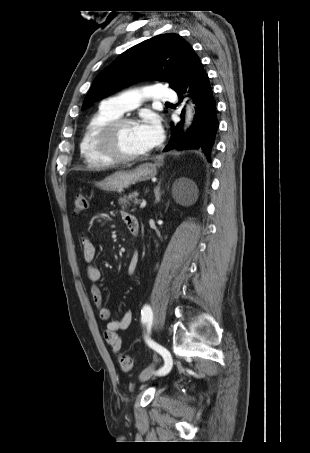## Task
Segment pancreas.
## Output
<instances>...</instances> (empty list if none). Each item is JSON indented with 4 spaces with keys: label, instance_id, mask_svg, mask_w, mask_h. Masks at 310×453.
I'll return each mask as SVG.
<instances>
[{
    "label": "pancreas",
    "instance_id": "1",
    "mask_svg": "<svg viewBox=\"0 0 310 453\" xmlns=\"http://www.w3.org/2000/svg\"><path fill=\"white\" fill-rule=\"evenodd\" d=\"M138 193L134 192L129 194L128 196H123L122 198L119 199V204L122 206V209H126L129 206H131V201L137 200Z\"/></svg>",
    "mask_w": 310,
    "mask_h": 453
}]
</instances>
